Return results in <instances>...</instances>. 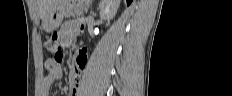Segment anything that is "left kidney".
<instances>
[{"label": "left kidney", "mask_w": 232, "mask_h": 96, "mask_svg": "<svg viewBox=\"0 0 232 96\" xmlns=\"http://www.w3.org/2000/svg\"><path fill=\"white\" fill-rule=\"evenodd\" d=\"M120 5V0H101L99 4L100 17L111 20L115 17Z\"/></svg>", "instance_id": "obj_1"}]
</instances>
